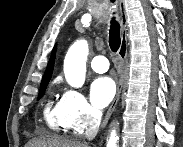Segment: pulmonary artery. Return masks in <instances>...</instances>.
Here are the masks:
<instances>
[{
	"label": "pulmonary artery",
	"mask_w": 183,
	"mask_h": 147,
	"mask_svg": "<svg viewBox=\"0 0 183 147\" xmlns=\"http://www.w3.org/2000/svg\"><path fill=\"white\" fill-rule=\"evenodd\" d=\"M91 68L97 73H104L109 68V62L104 56H96L92 59Z\"/></svg>",
	"instance_id": "obj_1"
}]
</instances>
